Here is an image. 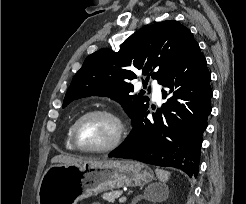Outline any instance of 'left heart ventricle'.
I'll return each instance as SVG.
<instances>
[{"instance_id":"obj_1","label":"left heart ventricle","mask_w":246,"mask_h":204,"mask_svg":"<svg viewBox=\"0 0 246 204\" xmlns=\"http://www.w3.org/2000/svg\"><path fill=\"white\" fill-rule=\"evenodd\" d=\"M116 132L115 123L104 116H91L79 125L78 143L85 148H97L108 144Z\"/></svg>"}]
</instances>
